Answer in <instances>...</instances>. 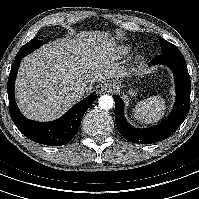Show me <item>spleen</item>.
Segmentation results:
<instances>
[{"label":"spleen","instance_id":"1","mask_svg":"<svg viewBox=\"0 0 199 199\" xmlns=\"http://www.w3.org/2000/svg\"><path fill=\"white\" fill-rule=\"evenodd\" d=\"M166 110V102L162 96L158 95L138 103L132 109L135 118L141 123L152 124L162 118Z\"/></svg>","mask_w":199,"mask_h":199}]
</instances>
